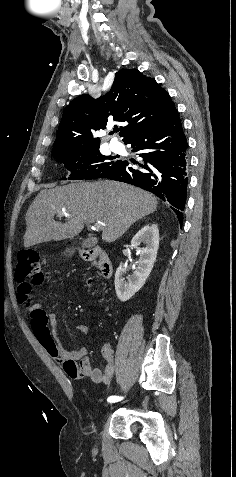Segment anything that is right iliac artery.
Wrapping results in <instances>:
<instances>
[{
	"label": "right iliac artery",
	"mask_w": 236,
	"mask_h": 477,
	"mask_svg": "<svg viewBox=\"0 0 236 477\" xmlns=\"http://www.w3.org/2000/svg\"><path fill=\"white\" fill-rule=\"evenodd\" d=\"M121 400L124 401L125 399L123 397H119V396H110V397H108L107 402L110 405H114V404L120 403Z\"/></svg>",
	"instance_id": "1"
}]
</instances>
